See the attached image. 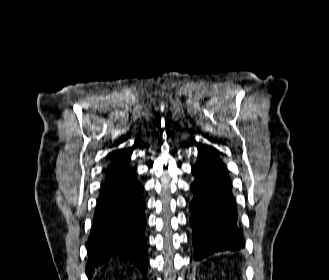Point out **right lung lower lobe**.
<instances>
[{
    "label": "right lung lower lobe",
    "instance_id": "right-lung-lower-lobe-1",
    "mask_svg": "<svg viewBox=\"0 0 329 280\" xmlns=\"http://www.w3.org/2000/svg\"><path fill=\"white\" fill-rule=\"evenodd\" d=\"M142 192L143 186L137 181L129 161L108 166L87 243L89 258L85 272L88 279L103 262L119 259L132 263L147 280Z\"/></svg>",
    "mask_w": 329,
    "mask_h": 280
}]
</instances>
